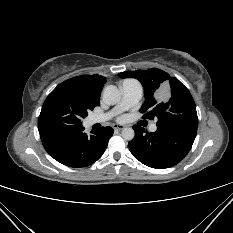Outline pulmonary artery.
I'll use <instances>...</instances> for the list:
<instances>
[{
  "label": "pulmonary artery",
  "mask_w": 233,
  "mask_h": 233,
  "mask_svg": "<svg viewBox=\"0 0 233 233\" xmlns=\"http://www.w3.org/2000/svg\"><path fill=\"white\" fill-rule=\"evenodd\" d=\"M120 90L122 98L119 104L109 113L104 115H93L89 121L91 124L103 122L115 114H118L124 110H127L135 106L142 97L143 88L142 85L135 80H125L120 84ZM157 130L156 123L150 125V131L155 132Z\"/></svg>",
  "instance_id": "1"
}]
</instances>
